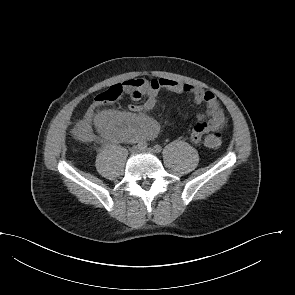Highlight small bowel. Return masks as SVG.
Here are the masks:
<instances>
[{
	"mask_svg": "<svg viewBox=\"0 0 295 295\" xmlns=\"http://www.w3.org/2000/svg\"><path fill=\"white\" fill-rule=\"evenodd\" d=\"M125 90L134 101L145 97L143 103L129 105L130 112L105 110L96 117V126L105 136L117 141H142L153 138L158 132L157 123L147 115L157 104L161 91L187 93L196 104H204L206 111L197 116L190 134L193 143H199L206 134H216L225 128L227 118L216 95L200 87L172 79H133L125 82Z\"/></svg>",
	"mask_w": 295,
	"mask_h": 295,
	"instance_id": "obj_1",
	"label": "small bowel"
}]
</instances>
